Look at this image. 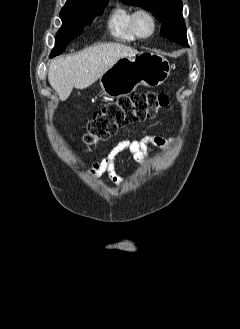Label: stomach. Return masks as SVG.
I'll return each mask as SVG.
<instances>
[{"mask_svg":"<svg viewBox=\"0 0 240 329\" xmlns=\"http://www.w3.org/2000/svg\"><path fill=\"white\" fill-rule=\"evenodd\" d=\"M171 68L169 61L160 53L142 51L117 60L100 77V87L109 97H124L140 84L147 87L161 85L169 77Z\"/></svg>","mask_w":240,"mask_h":329,"instance_id":"1","label":"stomach"}]
</instances>
